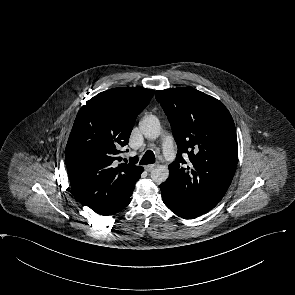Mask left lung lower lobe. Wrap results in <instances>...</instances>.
Masks as SVG:
<instances>
[{
	"label": "left lung lower lobe",
	"instance_id": "1",
	"mask_svg": "<svg viewBox=\"0 0 295 295\" xmlns=\"http://www.w3.org/2000/svg\"><path fill=\"white\" fill-rule=\"evenodd\" d=\"M163 202L176 215L184 219H193L201 214L192 210L171 186L167 183L160 185Z\"/></svg>",
	"mask_w": 295,
	"mask_h": 295
}]
</instances>
